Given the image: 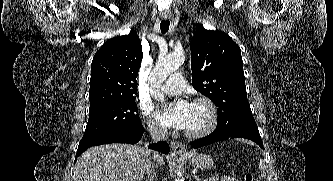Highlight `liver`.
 <instances>
[{"instance_id": "liver-1", "label": "liver", "mask_w": 333, "mask_h": 181, "mask_svg": "<svg viewBox=\"0 0 333 181\" xmlns=\"http://www.w3.org/2000/svg\"><path fill=\"white\" fill-rule=\"evenodd\" d=\"M150 150L129 144H107L89 148L77 160V181H142ZM164 164L162 156L155 159Z\"/></svg>"}]
</instances>
